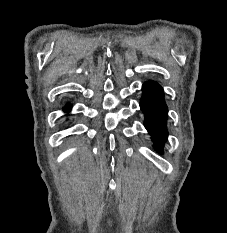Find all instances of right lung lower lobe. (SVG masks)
<instances>
[{"instance_id":"1","label":"right lung lower lobe","mask_w":227,"mask_h":233,"mask_svg":"<svg viewBox=\"0 0 227 233\" xmlns=\"http://www.w3.org/2000/svg\"><path fill=\"white\" fill-rule=\"evenodd\" d=\"M71 109V105H66L65 107H64V110H70Z\"/></svg>"}]
</instances>
